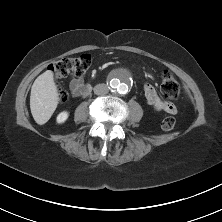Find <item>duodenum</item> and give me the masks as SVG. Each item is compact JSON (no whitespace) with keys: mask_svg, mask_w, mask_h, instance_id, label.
I'll list each match as a JSON object with an SVG mask.
<instances>
[{"mask_svg":"<svg viewBox=\"0 0 222 222\" xmlns=\"http://www.w3.org/2000/svg\"><path fill=\"white\" fill-rule=\"evenodd\" d=\"M91 90H92V87L90 85L84 86V88H83V95L89 94Z\"/></svg>","mask_w":222,"mask_h":222,"instance_id":"duodenum-1","label":"duodenum"}]
</instances>
